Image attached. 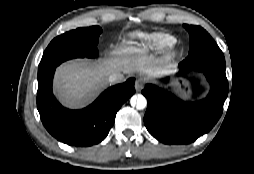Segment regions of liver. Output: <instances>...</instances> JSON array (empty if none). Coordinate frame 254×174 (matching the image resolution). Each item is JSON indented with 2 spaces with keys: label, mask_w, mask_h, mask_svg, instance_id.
<instances>
[{
  "label": "liver",
  "mask_w": 254,
  "mask_h": 174,
  "mask_svg": "<svg viewBox=\"0 0 254 174\" xmlns=\"http://www.w3.org/2000/svg\"><path fill=\"white\" fill-rule=\"evenodd\" d=\"M132 44V42H128ZM146 56L115 54L108 58L91 62L86 59L71 60L57 68L54 90L62 103L70 108L87 104L108 84L114 73L130 74L135 71L147 73ZM123 75L121 74V80ZM119 81V82H120Z\"/></svg>",
  "instance_id": "liver-1"
}]
</instances>
